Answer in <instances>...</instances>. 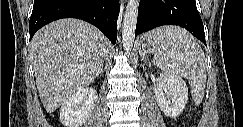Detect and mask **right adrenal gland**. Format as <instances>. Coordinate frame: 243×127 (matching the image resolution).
<instances>
[{
  "label": "right adrenal gland",
  "mask_w": 243,
  "mask_h": 127,
  "mask_svg": "<svg viewBox=\"0 0 243 127\" xmlns=\"http://www.w3.org/2000/svg\"><path fill=\"white\" fill-rule=\"evenodd\" d=\"M103 73H104V69H103V65H102L100 72L98 73V76H99V74H103Z\"/></svg>",
  "instance_id": "obj_1"
}]
</instances>
